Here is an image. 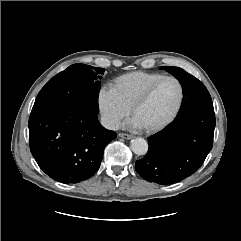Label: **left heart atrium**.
Wrapping results in <instances>:
<instances>
[{
	"label": "left heart atrium",
	"mask_w": 241,
	"mask_h": 241,
	"mask_svg": "<svg viewBox=\"0 0 241 241\" xmlns=\"http://www.w3.org/2000/svg\"><path fill=\"white\" fill-rule=\"evenodd\" d=\"M128 126L133 127V128H143L141 124L133 117L129 122Z\"/></svg>",
	"instance_id": "left-heart-atrium-1"
}]
</instances>
